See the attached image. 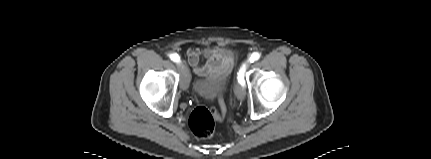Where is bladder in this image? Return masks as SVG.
<instances>
[{"mask_svg": "<svg viewBox=\"0 0 431 159\" xmlns=\"http://www.w3.org/2000/svg\"><path fill=\"white\" fill-rule=\"evenodd\" d=\"M227 82V75H214L198 79L194 83V90L206 99H213L222 91Z\"/></svg>", "mask_w": 431, "mask_h": 159, "instance_id": "31cf9c89", "label": "bladder"}]
</instances>
